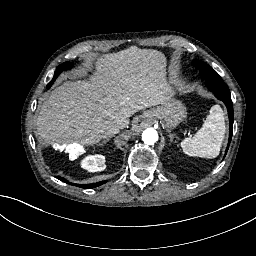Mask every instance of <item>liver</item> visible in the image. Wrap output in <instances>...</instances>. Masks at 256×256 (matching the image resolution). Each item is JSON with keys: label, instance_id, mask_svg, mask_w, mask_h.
Instances as JSON below:
<instances>
[{"label": "liver", "instance_id": "obj_1", "mask_svg": "<svg viewBox=\"0 0 256 256\" xmlns=\"http://www.w3.org/2000/svg\"><path fill=\"white\" fill-rule=\"evenodd\" d=\"M165 62L159 51L136 46L107 55L93 82L65 83L43 103L38 134L50 144L99 143L111 128H125L139 110L173 97L164 80ZM137 121L135 117L132 123Z\"/></svg>", "mask_w": 256, "mask_h": 256}]
</instances>
